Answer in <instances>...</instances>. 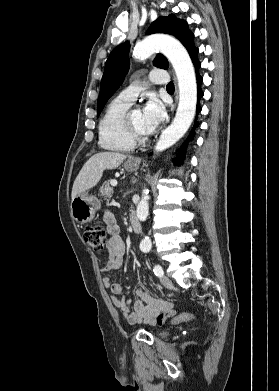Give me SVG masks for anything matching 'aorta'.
<instances>
[{
  "mask_svg": "<svg viewBox=\"0 0 279 391\" xmlns=\"http://www.w3.org/2000/svg\"><path fill=\"white\" fill-rule=\"evenodd\" d=\"M161 51L171 62L178 80L179 104L175 118L160 135L155 151H163L175 144L189 129L196 111L197 84L195 71L190 56L184 46L176 39L164 35H152L134 47L133 56L143 60L155 51ZM149 196L147 189L142 192V198L137 206V217L145 221L149 211ZM152 247L149 237L140 243L141 251L148 252Z\"/></svg>",
  "mask_w": 279,
  "mask_h": 391,
  "instance_id": "1",
  "label": "aorta"
}]
</instances>
